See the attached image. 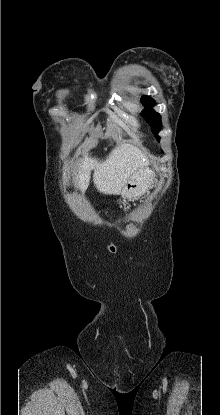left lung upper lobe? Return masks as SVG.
Listing matches in <instances>:
<instances>
[{
	"label": "left lung upper lobe",
	"instance_id": "5c2ea615",
	"mask_svg": "<svg viewBox=\"0 0 220 415\" xmlns=\"http://www.w3.org/2000/svg\"><path fill=\"white\" fill-rule=\"evenodd\" d=\"M141 102L146 107L141 114L150 122L152 132L154 133L157 141H159L160 137L158 136V132L162 126V123L160 114L151 108L155 104V101L149 96H143Z\"/></svg>",
	"mask_w": 220,
	"mask_h": 415
}]
</instances>
